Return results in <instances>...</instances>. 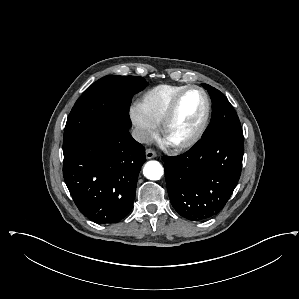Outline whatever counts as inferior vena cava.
<instances>
[{"instance_id": "inferior-vena-cava-1", "label": "inferior vena cava", "mask_w": 299, "mask_h": 299, "mask_svg": "<svg viewBox=\"0 0 299 299\" xmlns=\"http://www.w3.org/2000/svg\"><path fill=\"white\" fill-rule=\"evenodd\" d=\"M132 137L139 143L149 144L152 142L150 134L142 129L135 128L132 131Z\"/></svg>"}]
</instances>
